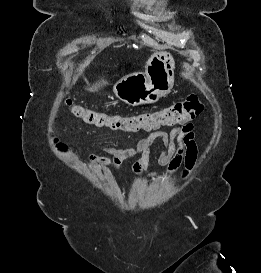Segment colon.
I'll return each instance as SVG.
<instances>
[{
  "label": "colon",
  "instance_id": "5ec220e1",
  "mask_svg": "<svg viewBox=\"0 0 261 273\" xmlns=\"http://www.w3.org/2000/svg\"><path fill=\"white\" fill-rule=\"evenodd\" d=\"M67 104L74 115L88 124L122 131L152 130L162 126L183 124L199 116L204 108L200 99L195 95L188 96L185 100L162 110L132 116L107 115L73 104L71 101H68ZM55 143L59 151L67 150L63 143L58 141Z\"/></svg>",
  "mask_w": 261,
  "mask_h": 273
}]
</instances>
